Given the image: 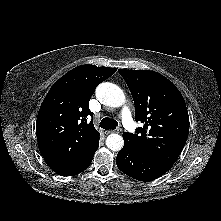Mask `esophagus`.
Here are the masks:
<instances>
[{"instance_id": "obj_1", "label": "esophagus", "mask_w": 221, "mask_h": 221, "mask_svg": "<svg viewBox=\"0 0 221 221\" xmlns=\"http://www.w3.org/2000/svg\"><path fill=\"white\" fill-rule=\"evenodd\" d=\"M122 131V129L121 128H118V129H116V130H108V131H106V133L107 134H110V133H120Z\"/></svg>"}]
</instances>
